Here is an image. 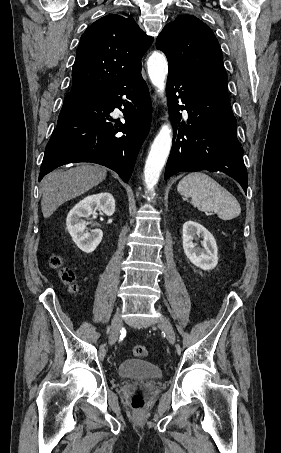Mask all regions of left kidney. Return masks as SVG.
<instances>
[{
    "mask_svg": "<svg viewBox=\"0 0 281 453\" xmlns=\"http://www.w3.org/2000/svg\"><path fill=\"white\" fill-rule=\"evenodd\" d=\"M196 235L202 237L203 241H201V245L203 249H196V245L193 243ZM183 249L189 261L193 265H196V267H199V269H203V271L215 269L218 263L216 241L213 235L205 227H202V224H199V222H195V220L184 222Z\"/></svg>",
    "mask_w": 281,
    "mask_h": 453,
    "instance_id": "obj_1",
    "label": "left kidney"
}]
</instances>
